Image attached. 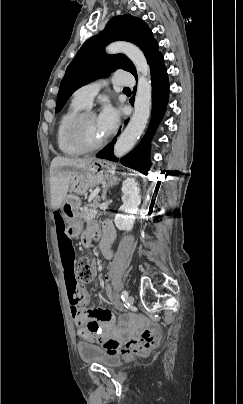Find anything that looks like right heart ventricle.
<instances>
[{"label":"right heart ventricle","mask_w":243,"mask_h":404,"mask_svg":"<svg viewBox=\"0 0 243 404\" xmlns=\"http://www.w3.org/2000/svg\"><path fill=\"white\" fill-rule=\"evenodd\" d=\"M79 95L78 90L74 93L73 99L70 101L66 109L58 118L54 129V140L59 152L69 157H79L85 153L73 143H71L65 135V128L68 122L80 111L87 108L76 96Z\"/></svg>","instance_id":"right-heart-ventricle-1"}]
</instances>
